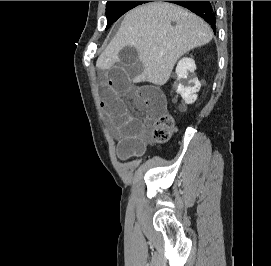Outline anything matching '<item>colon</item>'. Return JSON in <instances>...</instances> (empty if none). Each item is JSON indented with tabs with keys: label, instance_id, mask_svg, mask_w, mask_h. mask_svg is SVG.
I'll use <instances>...</instances> for the list:
<instances>
[{
	"label": "colon",
	"instance_id": "obj_1",
	"mask_svg": "<svg viewBox=\"0 0 271 266\" xmlns=\"http://www.w3.org/2000/svg\"><path fill=\"white\" fill-rule=\"evenodd\" d=\"M176 129L174 117L170 113H164L157 120L153 129V139L158 143L167 142Z\"/></svg>",
	"mask_w": 271,
	"mask_h": 266
}]
</instances>
